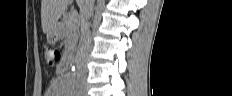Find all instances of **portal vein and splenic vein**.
Masks as SVG:
<instances>
[{"label": "portal vein and splenic vein", "mask_w": 232, "mask_h": 96, "mask_svg": "<svg viewBox=\"0 0 232 96\" xmlns=\"http://www.w3.org/2000/svg\"><path fill=\"white\" fill-rule=\"evenodd\" d=\"M76 17H77L76 13L71 14V18H76Z\"/></svg>", "instance_id": "18ae733b"}]
</instances>
